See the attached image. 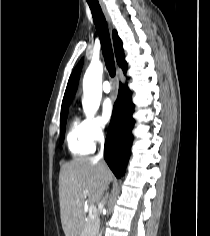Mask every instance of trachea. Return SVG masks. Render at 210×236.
<instances>
[{"label": "trachea", "mask_w": 210, "mask_h": 236, "mask_svg": "<svg viewBox=\"0 0 210 236\" xmlns=\"http://www.w3.org/2000/svg\"><path fill=\"white\" fill-rule=\"evenodd\" d=\"M95 27L100 38L106 68L111 77L115 76V61L109 30L102 9L97 0H87Z\"/></svg>", "instance_id": "trachea-1"}]
</instances>
